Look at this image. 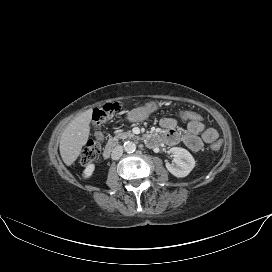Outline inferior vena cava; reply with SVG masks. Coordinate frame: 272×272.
I'll list each match as a JSON object with an SVG mask.
<instances>
[{
    "mask_svg": "<svg viewBox=\"0 0 272 272\" xmlns=\"http://www.w3.org/2000/svg\"><path fill=\"white\" fill-rule=\"evenodd\" d=\"M122 154H123V147L120 146V145H117V146L113 149V151H112V153H111V158H112L113 160H118V159L122 156Z\"/></svg>",
    "mask_w": 272,
    "mask_h": 272,
    "instance_id": "obj_1",
    "label": "inferior vena cava"
}]
</instances>
